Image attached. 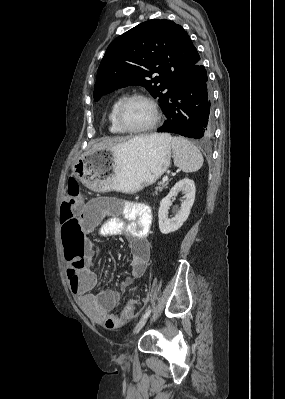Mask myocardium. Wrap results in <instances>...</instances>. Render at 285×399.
<instances>
[{
    "label": "myocardium",
    "instance_id": "myocardium-1",
    "mask_svg": "<svg viewBox=\"0 0 285 399\" xmlns=\"http://www.w3.org/2000/svg\"><path fill=\"white\" fill-rule=\"evenodd\" d=\"M133 100H144L147 103H149L154 110L153 120L149 124H147L143 127H140V128L127 127L123 121V111H124L125 107ZM160 120H161V112H160V108H159L157 102L152 97H150L146 94L136 93V94H132V95L125 97L122 100V102L119 104V106L116 110V122H117L118 126L120 127V129L126 133L139 134V133L148 132V131L152 130L153 128H155L159 124Z\"/></svg>",
    "mask_w": 285,
    "mask_h": 399
}]
</instances>
